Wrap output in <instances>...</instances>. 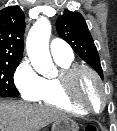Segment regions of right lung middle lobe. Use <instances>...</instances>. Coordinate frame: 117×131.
Masks as SVG:
<instances>
[{"label":"right lung middle lobe","instance_id":"dd1d6c3e","mask_svg":"<svg viewBox=\"0 0 117 131\" xmlns=\"http://www.w3.org/2000/svg\"><path fill=\"white\" fill-rule=\"evenodd\" d=\"M20 61H0V97H18L13 75Z\"/></svg>","mask_w":117,"mask_h":131}]
</instances>
